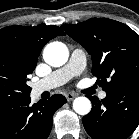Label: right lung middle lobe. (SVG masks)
<instances>
[{"mask_svg":"<svg viewBox=\"0 0 139 139\" xmlns=\"http://www.w3.org/2000/svg\"><path fill=\"white\" fill-rule=\"evenodd\" d=\"M31 73L19 58L0 52V103L29 97L31 88L26 82Z\"/></svg>","mask_w":139,"mask_h":139,"instance_id":"right-lung-middle-lobe-1","label":"right lung middle lobe"}]
</instances>
